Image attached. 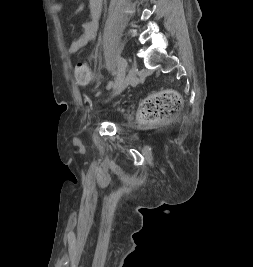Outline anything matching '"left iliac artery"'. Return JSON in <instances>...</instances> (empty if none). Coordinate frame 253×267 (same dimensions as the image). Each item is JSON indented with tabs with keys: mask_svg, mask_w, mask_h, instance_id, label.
<instances>
[{
	"mask_svg": "<svg viewBox=\"0 0 253 267\" xmlns=\"http://www.w3.org/2000/svg\"><path fill=\"white\" fill-rule=\"evenodd\" d=\"M127 62L126 60L122 57L120 59H118V67H119V72L117 74V77L115 79V81L110 82L108 88L111 89H118L123 82L124 79V75H125V68H126Z\"/></svg>",
	"mask_w": 253,
	"mask_h": 267,
	"instance_id": "left-iliac-artery-1",
	"label": "left iliac artery"
}]
</instances>
